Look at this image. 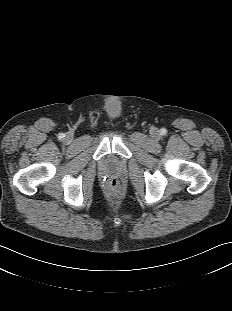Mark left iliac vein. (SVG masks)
<instances>
[{"label": "left iliac vein", "mask_w": 232, "mask_h": 311, "mask_svg": "<svg viewBox=\"0 0 232 311\" xmlns=\"http://www.w3.org/2000/svg\"><path fill=\"white\" fill-rule=\"evenodd\" d=\"M151 134H152V136L154 138H158L159 137V134H158L157 130H152Z\"/></svg>", "instance_id": "1"}]
</instances>
